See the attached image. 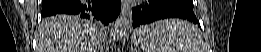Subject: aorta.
<instances>
[{
  "label": "aorta",
  "instance_id": "aorta-1",
  "mask_svg": "<svg viewBox=\"0 0 261 52\" xmlns=\"http://www.w3.org/2000/svg\"><path fill=\"white\" fill-rule=\"evenodd\" d=\"M132 28V19L131 17H120L113 29H112V36L115 41H119L124 38L127 33Z\"/></svg>",
  "mask_w": 261,
  "mask_h": 52
}]
</instances>
